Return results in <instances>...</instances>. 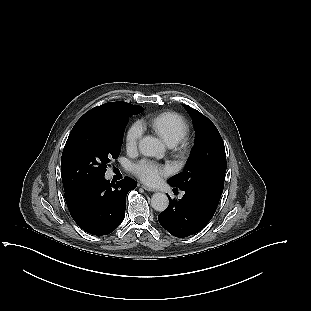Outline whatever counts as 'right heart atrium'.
<instances>
[{"label": "right heart atrium", "instance_id": "right-heart-atrium-1", "mask_svg": "<svg viewBox=\"0 0 311 311\" xmlns=\"http://www.w3.org/2000/svg\"><path fill=\"white\" fill-rule=\"evenodd\" d=\"M142 135V127L139 122L134 123L128 131L127 143L131 148H136L138 141Z\"/></svg>", "mask_w": 311, "mask_h": 311}]
</instances>
